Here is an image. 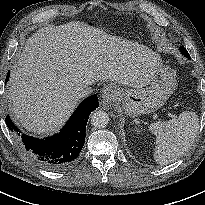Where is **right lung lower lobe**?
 Segmentation results:
<instances>
[{"label": "right lung lower lobe", "instance_id": "98d812e1", "mask_svg": "<svg viewBox=\"0 0 205 205\" xmlns=\"http://www.w3.org/2000/svg\"><path fill=\"white\" fill-rule=\"evenodd\" d=\"M9 74L10 72L6 82ZM98 106L96 95L88 97L77 107L58 134L44 139L21 134L9 115L6 117V124L10 131L19 136V141L30 159L45 169L60 171L71 167L77 161L85 143L88 117Z\"/></svg>", "mask_w": 205, "mask_h": 205}]
</instances>
